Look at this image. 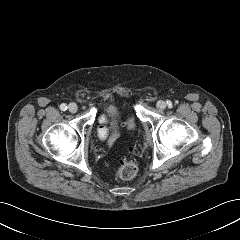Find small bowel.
Returning a JSON list of instances; mask_svg holds the SVG:
<instances>
[{
    "label": "small bowel",
    "mask_w": 240,
    "mask_h": 240,
    "mask_svg": "<svg viewBox=\"0 0 240 240\" xmlns=\"http://www.w3.org/2000/svg\"><path fill=\"white\" fill-rule=\"evenodd\" d=\"M99 122L102 124V126L98 129V136L101 139H104L108 135V128L106 126V124L108 123V119L104 115H101L99 117ZM117 138L118 134L117 133L113 134L111 137H109L108 144L112 145L117 140Z\"/></svg>",
    "instance_id": "small-bowel-1"
}]
</instances>
